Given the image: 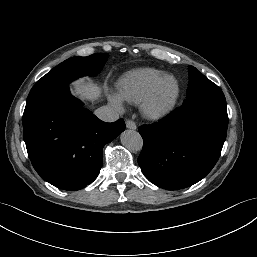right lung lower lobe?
I'll list each match as a JSON object with an SVG mask.
<instances>
[{
	"label": "right lung lower lobe",
	"instance_id": "right-lung-lower-lobe-1",
	"mask_svg": "<svg viewBox=\"0 0 257 257\" xmlns=\"http://www.w3.org/2000/svg\"><path fill=\"white\" fill-rule=\"evenodd\" d=\"M63 78L35 85L23 114V138L37 173L64 190L92 183L103 163V146L125 129L122 119L106 123L73 97Z\"/></svg>",
	"mask_w": 257,
	"mask_h": 257
}]
</instances>
